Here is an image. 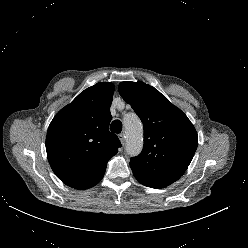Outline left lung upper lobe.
<instances>
[{"label":"left lung upper lobe","instance_id":"left-lung-upper-lobe-1","mask_svg":"<svg viewBox=\"0 0 248 248\" xmlns=\"http://www.w3.org/2000/svg\"><path fill=\"white\" fill-rule=\"evenodd\" d=\"M119 93L144 128L143 150L130 159L135 178L155 189L172 184L184 174L197 149L194 126L163 94L141 81L121 82Z\"/></svg>","mask_w":248,"mask_h":248}]
</instances>
